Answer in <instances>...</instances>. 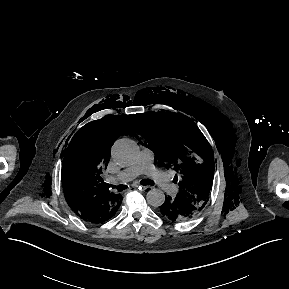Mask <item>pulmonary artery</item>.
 I'll use <instances>...</instances> for the list:
<instances>
[{
  "label": "pulmonary artery",
  "mask_w": 289,
  "mask_h": 289,
  "mask_svg": "<svg viewBox=\"0 0 289 289\" xmlns=\"http://www.w3.org/2000/svg\"><path fill=\"white\" fill-rule=\"evenodd\" d=\"M154 153L150 148H143L135 163L119 172L116 176H111V182H128L141 174L148 175L166 193H173L176 186L169 177L154 166Z\"/></svg>",
  "instance_id": "1"
}]
</instances>
